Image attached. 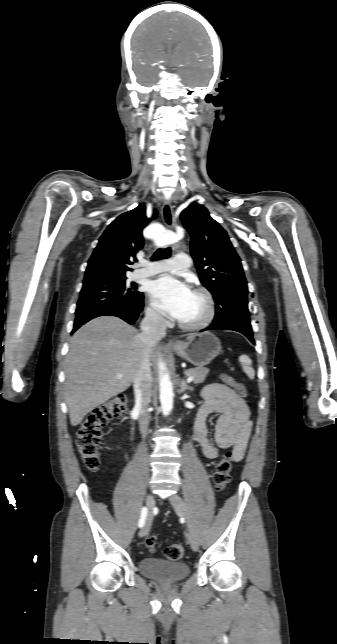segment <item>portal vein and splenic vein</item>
Returning <instances> with one entry per match:
<instances>
[{
	"mask_svg": "<svg viewBox=\"0 0 337 644\" xmlns=\"http://www.w3.org/2000/svg\"><path fill=\"white\" fill-rule=\"evenodd\" d=\"M117 377H118V378H121V377H123V375H122V374H118V375H117ZM193 380H194V377H193V376H189V377L187 378V382H188V383L192 382Z\"/></svg>",
	"mask_w": 337,
	"mask_h": 644,
	"instance_id": "1",
	"label": "portal vein and splenic vein"
}]
</instances>
